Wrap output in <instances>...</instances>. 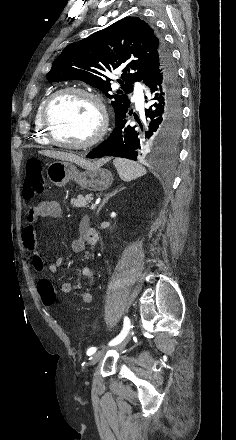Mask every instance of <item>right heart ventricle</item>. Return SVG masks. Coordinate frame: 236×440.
<instances>
[{
  "mask_svg": "<svg viewBox=\"0 0 236 440\" xmlns=\"http://www.w3.org/2000/svg\"><path fill=\"white\" fill-rule=\"evenodd\" d=\"M46 99H43L39 105L37 106V109L35 111V115H34V140L42 145H49L50 142L48 141L43 128L41 126V121H40V117H41V111H42V107L43 104L45 102Z\"/></svg>",
  "mask_w": 236,
  "mask_h": 440,
  "instance_id": "obj_1",
  "label": "right heart ventricle"
}]
</instances>
